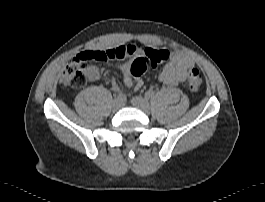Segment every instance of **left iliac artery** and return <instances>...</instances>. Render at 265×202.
Returning a JSON list of instances; mask_svg holds the SVG:
<instances>
[{"instance_id": "44dca946", "label": "left iliac artery", "mask_w": 265, "mask_h": 202, "mask_svg": "<svg viewBox=\"0 0 265 202\" xmlns=\"http://www.w3.org/2000/svg\"><path fill=\"white\" fill-rule=\"evenodd\" d=\"M145 97L153 98V97H154V92H153V91H147V92L145 93Z\"/></svg>"}]
</instances>
